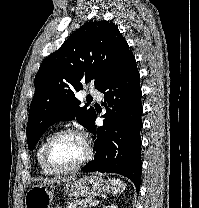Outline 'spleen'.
Wrapping results in <instances>:
<instances>
[{"label":"spleen","instance_id":"spleen-1","mask_svg":"<svg viewBox=\"0 0 199 208\" xmlns=\"http://www.w3.org/2000/svg\"><path fill=\"white\" fill-rule=\"evenodd\" d=\"M109 181L112 186L113 195L121 194L126 189V184L118 178H111Z\"/></svg>","mask_w":199,"mask_h":208}]
</instances>
